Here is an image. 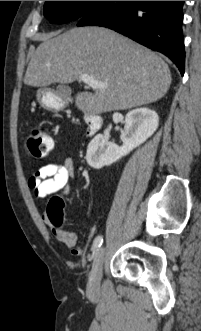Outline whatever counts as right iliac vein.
<instances>
[{
  "label": "right iliac vein",
  "mask_w": 201,
  "mask_h": 331,
  "mask_svg": "<svg viewBox=\"0 0 201 331\" xmlns=\"http://www.w3.org/2000/svg\"><path fill=\"white\" fill-rule=\"evenodd\" d=\"M104 257H105V248L101 247L95 253L92 269L89 276L87 290L90 295L96 294L99 290L100 281L102 277Z\"/></svg>",
  "instance_id": "right-iliac-vein-1"
}]
</instances>
